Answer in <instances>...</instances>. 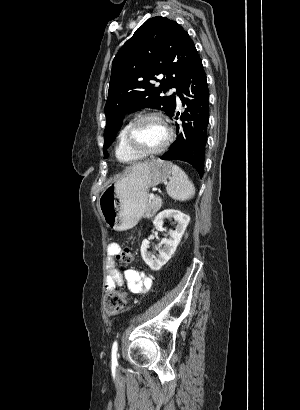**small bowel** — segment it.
<instances>
[{"label":"small bowel","mask_w":300,"mask_h":410,"mask_svg":"<svg viewBox=\"0 0 300 410\" xmlns=\"http://www.w3.org/2000/svg\"><path fill=\"white\" fill-rule=\"evenodd\" d=\"M118 251L119 245L117 243H111L107 247L108 258L106 261L107 277L104 285L105 290L112 291L116 287L126 286L134 294L146 293L152 285L151 278L144 271L119 269L114 260V255Z\"/></svg>","instance_id":"obj_1"}]
</instances>
